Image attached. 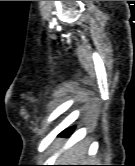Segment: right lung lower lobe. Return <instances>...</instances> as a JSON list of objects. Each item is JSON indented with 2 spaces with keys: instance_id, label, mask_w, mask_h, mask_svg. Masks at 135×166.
I'll use <instances>...</instances> for the list:
<instances>
[{
  "instance_id": "right-lung-lower-lobe-1",
  "label": "right lung lower lobe",
  "mask_w": 135,
  "mask_h": 166,
  "mask_svg": "<svg viewBox=\"0 0 135 166\" xmlns=\"http://www.w3.org/2000/svg\"><path fill=\"white\" fill-rule=\"evenodd\" d=\"M74 128H75V127L73 126V127H71V128L66 129L65 131H63V132L61 133V135H63V136L70 135V134L73 132Z\"/></svg>"
}]
</instances>
